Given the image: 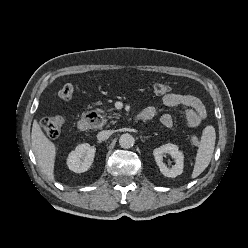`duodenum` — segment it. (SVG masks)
Returning <instances> with one entry per match:
<instances>
[{
    "instance_id": "1",
    "label": "duodenum",
    "mask_w": 248,
    "mask_h": 248,
    "mask_svg": "<svg viewBox=\"0 0 248 248\" xmlns=\"http://www.w3.org/2000/svg\"><path fill=\"white\" fill-rule=\"evenodd\" d=\"M136 119L139 121L147 120V118L142 116L141 114L137 115ZM98 123H99V116L96 113H85L78 120L77 127L80 131L85 132L88 131L93 126L97 125Z\"/></svg>"
}]
</instances>
